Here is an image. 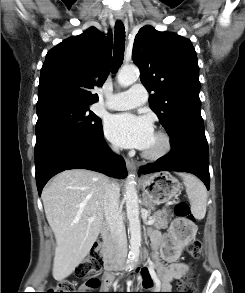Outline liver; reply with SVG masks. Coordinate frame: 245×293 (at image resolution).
<instances>
[{
    "label": "liver",
    "instance_id": "liver-1",
    "mask_svg": "<svg viewBox=\"0 0 245 293\" xmlns=\"http://www.w3.org/2000/svg\"><path fill=\"white\" fill-rule=\"evenodd\" d=\"M109 178L85 169L65 170L42 192L56 250L53 277L62 281L84 260L104 221V195Z\"/></svg>",
    "mask_w": 245,
    "mask_h": 293
}]
</instances>
